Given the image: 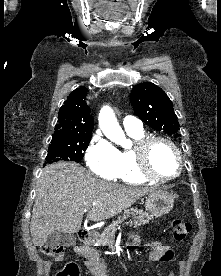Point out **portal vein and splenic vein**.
Listing matches in <instances>:
<instances>
[{
  "label": "portal vein and splenic vein",
  "mask_w": 221,
  "mask_h": 276,
  "mask_svg": "<svg viewBox=\"0 0 221 276\" xmlns=\"http://www.w3.org/2000/svg\"><path fill=\"white\" fill-rule=\"evenodd\" d=\"M93 205H95V203H93ZM86 211H87V209L84 210V212H86ZM123 220H124V219H123Z\"/></svg>",
  "instance_id": "portal-vein-and-splenic-vein-1"
}]
</instances>
